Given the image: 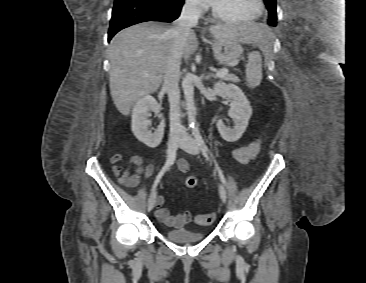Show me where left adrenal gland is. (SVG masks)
Segmentation results:
<instances>
[{
    "mask_svg": "<svg viewBox=\"0 0 366 283\" xmlns=\"http://www.w3.org/2000/svg\"><path fill=\"white\" fill-rule=\"evenodd\" d=\"M211 78H216V75H214L213 73H208V75L204 76V79L206 81L210 80Z\"/></svg>",
    "mask_w": 366,
    "mask_h": 283,
    "instance_id": "left-adrenal-gland-1",
    "label": "left adrenal gland"
}]
</instances>
